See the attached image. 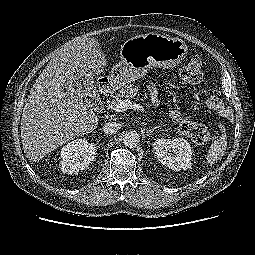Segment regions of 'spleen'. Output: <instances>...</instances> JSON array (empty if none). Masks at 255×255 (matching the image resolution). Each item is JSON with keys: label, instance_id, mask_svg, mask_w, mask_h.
<instances>
[{"label": "spleen", "instance_id": "spleen-1", "mask_svg": "<svg viewBox=\"0 0 255 255\" xmlns=\"http://www.w3.org/2000/svg\"><path fill=\"white\" fill-rule=\"evenodd\" d=\"M220 128L222 130V135L211 144L208 150L207 163L210 165L217 162L224 155L227 148V134L225 132V127L220 126Z\"/></svg>", "mask_w": 255, "mask_h": 255}]
</instances>
